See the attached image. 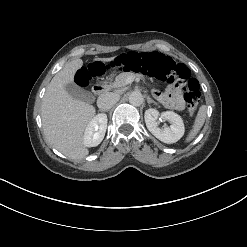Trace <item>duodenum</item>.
<instances>
[{"instance_id": "obj_1", "label": "duodenum", "mask_w": 247, "mask_h": 247, "mask_svg": "<svg viewBox=\"0 0 247 247\" xmlns=\"http://www.w3.org/2000/svg\"><path fill=\"white\" fill-rule=\"evenodd\" d=\"M106 90H107V85L103 82L96 83L92 89L93 94L96 97H100L101 95H103Z\"/></svg>"}]
</instances>
